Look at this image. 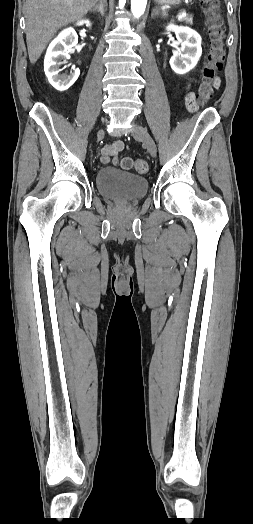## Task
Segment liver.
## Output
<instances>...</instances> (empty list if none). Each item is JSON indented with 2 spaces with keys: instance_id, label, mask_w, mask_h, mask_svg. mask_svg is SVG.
<instances>
[{
  "instance_id": "1",
  "label": "liver",
  "mask_w": 253,
  "mask_h": 524,
  "mask_svg": "<svg viewBox=\"0 0 253 524\" xmlns=\"http://www.w3.org/2000/svg\"><path fill=\"white\" fill-rule=\"evenodd\" d=\"M98 0H27L26 42L29 60L34 64L54 34L80 19Z\"/></svg>"
}]
</instances>
